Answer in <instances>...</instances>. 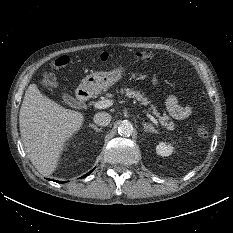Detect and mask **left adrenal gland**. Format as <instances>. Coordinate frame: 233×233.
<instances>
[{
  "label": "left adrenal gland",
  "instance_id": "a2214340",
  "mask_svg": "<svg viewBox=\"0 0 233 233\" xmlns=\"http://www.w3.org/2000/svg\"><path fill=\"white\" fill-rule=\"evenodd\" d=\"M142 126L144 127L145 132H151L155 134L159 133L151 123L147 124L146 122H142Z\"/></svg>",
  "mask_w": 233,
  "mask_h": 233
}]
</instances>
